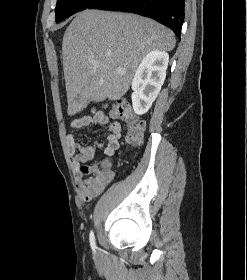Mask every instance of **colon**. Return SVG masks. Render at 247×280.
<instances>
[{"mask_svg": "<svg viewBox=\"0 0 247 280\" xmlns=\"http://www.w3.org/2000/svg\"><path fill=\"white\" fill-rule=\"evenodd\" d=\"M113 113L116 117L124 120L128 126L127 140L130 144H139L142 140V131L144 122L134 115L125 101H118L112 106ZM108 161L97 162L89 167H85L87 173L92 174L99 179H106L110 175Z\"/></svg>", "mask_w": 247, "mask_h": 280, "instance_id": "colon-1", "label": "colon"}]
</instances>
